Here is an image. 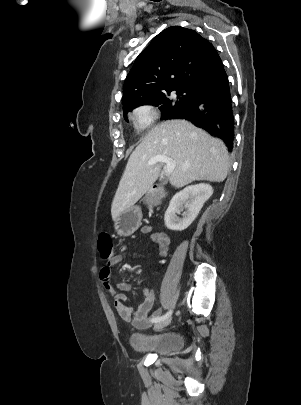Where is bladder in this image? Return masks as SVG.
<instances>
[{"instance_id": "obj_1", "label": "bladder", "mask_w": 301, "mask_h": 405, "mask_svg": "<svg viewBox=\"0 0 301 405\" xmlns=\"http://www.w3.org/2000/svg\"><path fill=\"white\" fill-rule=\"evenodd\" d=\"M130 345L136 353L168 356L178 352L183 342L174 332H163L153 335L134 333L130 338Z\"/></svg>"}]
</instances>
